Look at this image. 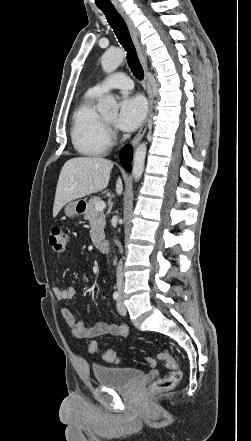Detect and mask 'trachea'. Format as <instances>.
Here are the masks:
<instances>
[{
  "label": "trachea",
  "instance_id": "1",
  "mask_svg": "<svg viewBox=\"0 0 251 441\" xmlns=\"http://www.w3.org/2000/svg\"><path fill=\"white\" fill-rule=\"evenodd\" d=\"M105 14L107 21L111 28L113 29L115 35L118 38L120 44L124 47L127 52V62L133 73V75L138 80H143L144 71L139 62L136 54L135 47L132 43L128 27L121 17V15L116 11L115 8H100Z\"/></svg>",
  "mask_w": 251,
  "mask_h": 441
}]
</instances>
